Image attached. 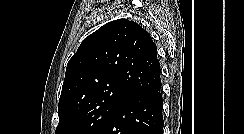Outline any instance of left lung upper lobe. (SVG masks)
Listing matches in <instances>:
<instances>
[{
    "label": "left lung upper lobe",
    "mask_w": 244,
    "mask_h": 134,
    "mask_svg": "<svg viewBox=\"0 0 244 134\" xmlns=\"http://www.w3.org/2000/svg\"><path fill=\"white\" fill-rule=\"evenodd\" d=\"M157 48L136 22L118 19L85 38L69 60L56 134H102L131 96L161 86Z\"/></svg>",
    "instance_id": "5c2ea615"
}]
</instances>
